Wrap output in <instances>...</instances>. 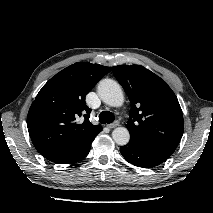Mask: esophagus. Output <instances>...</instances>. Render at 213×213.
Instances as JSON below:
<instances>
[{
  "label": "esophagus",
  "mask_w": 213,
  "mask_h": 213,
  "mask_svg": "<svg viewBox=\"0 0 213 213\" xmlns=\"http://www.w3.org/2000/svg\"><path fill=\"white\" fill-rule=\"evenodd\" d=\"M117 126H119V121H115L112 124L107 125V127L110 129L116 128Z\"/></svg>",
  "instance_id": "34e87169"
}]
</instances>
